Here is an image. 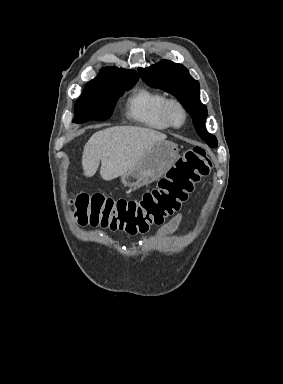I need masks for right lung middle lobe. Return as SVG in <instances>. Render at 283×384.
<instances>
[{"instance_id": "right-lung-middle-lobe-1", "label": "right lung middle lobe", "mask_w": 283, "mask_h": 384, "mask_svg": "<svg viewBox=\"0 0 283 384\" xmlns=\"http://www.w3.org/2000/svg\"><path fill=\"white\" fill-rule=\"evenodd\" d=\"M134 85L135 82H131L85 88L76 101L73 121L84 123L90 120L109 119L118 98Z\"/></svg>"}]
</instances>
